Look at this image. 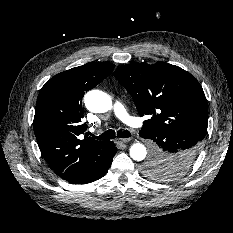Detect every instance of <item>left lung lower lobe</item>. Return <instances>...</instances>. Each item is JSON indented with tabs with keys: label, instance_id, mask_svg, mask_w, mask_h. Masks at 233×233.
Returning <instances> with one entry per match:
<instances>
[{
	"label": "left lung lower lobe",
	"instance_id": "0a47b994",
	"mask_svg": "<svg viewBox=\"0 0 233 233\" xmlns=\"http://www.w3.org/2000/svg\"><path fill=\"white\" fill-rule=\"evenodd\" d=\"M142 138L155 142L153 156L159 157L173 167L162 172L157 180H171L182 176L196 159L201 143L198 136L182 130H153L139 132Z\"/></svg>",
	"mask_w": 233,
	"mask_h": 233
}]
</instances>
